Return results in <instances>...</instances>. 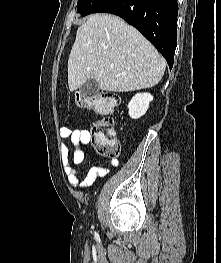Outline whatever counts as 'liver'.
Listing matches in <instances>:
<instances>
[{"mask_svg": "<svg viewBox=\"0 0 221 263\" xmlns=\"http://www.w3.org/2000/svg\"><path fill=\"white\" fill-rule=\"evenodd\" d=\"M164 58L134 27L117 16L94 14L81 25L68 59L70 91L88 79L110 92L151 88L162 79Z\"/></svg>", "mask_w": 221, "mask_h": 263, "instance_id": "1", "label": "liver"}]
</instances>
